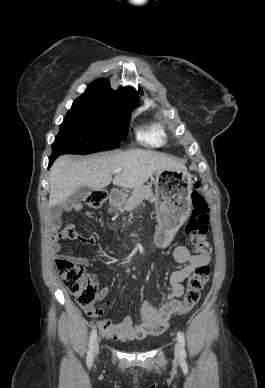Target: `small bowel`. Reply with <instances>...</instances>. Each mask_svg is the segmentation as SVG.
<instances>
[{"mask_svg": "<svg viewBox=\"0 0 265 388\" xmlns=\"http://www.w3.org/2000/svg\"><path fill=\"white\" fill-rule=\"evenodd\" d=\"M70 209L75 211H82L84 204L82 202H75L71 205ZM86 215L90 219H95V214L91 211H87ZM52 226L54 229H58L60 226V219L58 216H53ZM62 237L60 234L55 235L53 243V251L57 253L56 258H66L74 264L80 266H88L90 260L83 257L69 256L59 254L61 246L58 242ZM80 242L95 246L97 245V238L93 235L77 238ZM173 255L175 260L183 264L184 266L178 270L172 272L169 278V292L160 308H156L148 301H144L141 305L140 314L141 320L139 323L134 324L132 319L127 317L119 324H112L109 320H100L97 322L101 334L111 340L115 341H128L133 339H142L146 336L157 334L164 331L172 316L176 313V309L180 304L179 298L184 293L183 281L195 271L199 266L208 265L210 262L209 255L193 254L183 245H178L174 248ZM110 293V288L104 286L99 292V299H105ZM107 307L111 306V302L106 304ZM102 309H94L92 315H102Z\"/></svg>", "mask_w": 265, "mask_h": 388, "instance_id": "1", "label": "small bowel"}]
</instances>
